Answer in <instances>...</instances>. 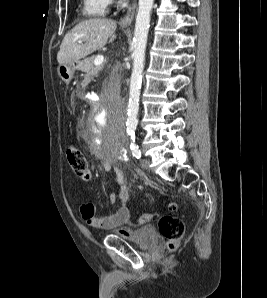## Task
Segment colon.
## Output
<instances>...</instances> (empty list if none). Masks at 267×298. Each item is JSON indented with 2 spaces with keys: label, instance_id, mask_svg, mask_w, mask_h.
Here are the masks:
<instances>
[{
  "label": "colon",
  "instance_id": "5ec220e1",
  "mask_svg": "<svg viewBox=\"0 0 267 298\" xmlns=\"http://www.w3.org/2000/svg\"><path fill=\"white\" fill-rule=\"evenodd\" d=\"M66 158L71 169L83 180L89 175L88 162L81 150L74 146H68L66 150ZM169 210H177L176 203L169 204ZM153 218V214L146 213L138 219L139 224H145ZM160 233L166 238L168 248L174 250L180 240L182 239L185 231L184 222L177 216L165 215L159 220Z\"/></svg>",
  "mask_w": 267,
  "mask_h": 298
}]
</instances>
